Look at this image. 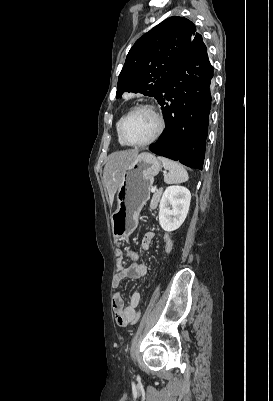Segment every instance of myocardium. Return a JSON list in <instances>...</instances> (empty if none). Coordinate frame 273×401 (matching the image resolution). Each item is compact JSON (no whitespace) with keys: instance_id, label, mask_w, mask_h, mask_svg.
<instances>
[{"instance_id":"obj_1","label":"myocardium","mask_w":273,"mask_h":401,"mask_svg":"<svg viewBox=\"0 0 273 401\" xmlns=\"http://www.w3.org/2000/svg\"><path fill=\"white\" fill-rule=\"evenodd\" d=\"M140 111L148 112V113L152 114V115L156 118V120H157V122H158L157 131L155 132V134H154L151 138H149V139H147V140H145V141L137 142V143L129 142V141H127V140L124 138V136H123V128H124V125H125L126 121L128 120V118H129L130 116H132L133 114H135V113H137V112H140ZM165 128H166L165 120H164V118L162 117V115L157 111V109H156L154 106H152V105L141 104V105H138V106L134 107V108L131 109L130 111H128V112L122 117V119H121V121H120V123H119V127H118V135H119L120 140H121L126 146H129V147H144V146H147V145H149V144L155 142L156 140H158V139L163 135V133H164V131H165Z\"/></svg>"}]
</instances>
